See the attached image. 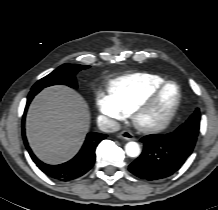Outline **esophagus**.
<instances>
[{
	"instance_id": "esophagus-1",
	"label": "esophagus",
	"mask_w": 218,
	"mask_h": 210,
	"mask_svg": "<svg viewBox=\"0 0 218 210\" xmlns=\"http://www.w3.org/2000/svg\"><path fill=\"white\" fill-rule=\"evenodd\" d=\"M119 137L121 139H124L126 141H130V140H133L134 139V135L129 132V131H122L120 134H119Z\"/></svg>"
}]
</instances>
